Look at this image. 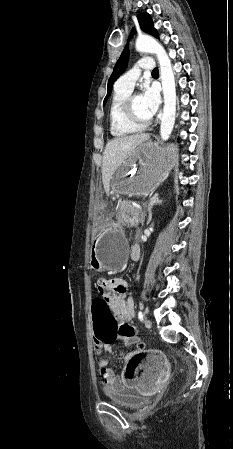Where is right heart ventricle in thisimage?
Segmentation results:
<instances>
[{
  "instance_id": "1",
  "label": "right heart ventricle",
  "mask_w": 233,
  "mask_h": 449,
  "mask_svg": "<svg viewBox=\"0 0 233 449\" xmlns=\"http://www.w3.org/2000/svg\"><path fill=\"white\" fill-rule=\"evenodd\" d=\"M131 91L132 89L115 85L108 111L110 132L114 137L129 136L142 130V127L130 123L123 114L124 100Z\"/></svg>"
}]
</instances>
